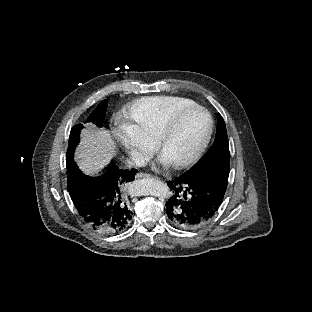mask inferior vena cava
<instances>
[{"instance_id": "1", "label": "inferior vena cava", "mask_w": 312, "mask_h": 312, "mask_svg": "<svg viewBox=\"0 0 312 312\" xmlns=\"http://www.w3.org/2000/svg\"><path fill=\"white\" fill-rule=\"evenodd\" d=\"M148 158L141 152L134 150L131 153V157L127 160V163L131 166L144 167L148 163Z\"/></svg>"}]
</instances>
